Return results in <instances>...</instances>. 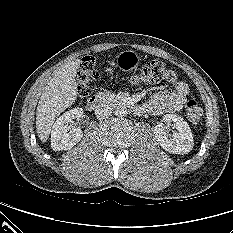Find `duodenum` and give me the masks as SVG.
Masks as SVG:
<instances>
[{"label":"duodenum","instance_id":"obj_1","mask_svg":"<svg viewBox=\"0 0 233 233\" xmlns=\"http://www.w3.org/2000/svg\"><path fill=\"white\" fill-rule=\"evenodd\" d=\"M120 104L130 108L134 113L141 114L143 113V108L141 106H138L136 103H134L131 100L128 99H120ZM101 104V100L98 96L93 95L87 100L86 107L89 111L96 110Z\"/></svg>","mask_w":233,"mask_h":233}]
</instances>
